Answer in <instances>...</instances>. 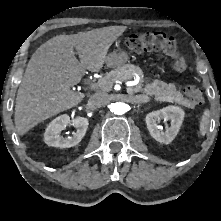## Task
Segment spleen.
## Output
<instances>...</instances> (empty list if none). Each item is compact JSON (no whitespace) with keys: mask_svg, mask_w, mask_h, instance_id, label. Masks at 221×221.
I'll return each mask as SVG.
<instances>
[{"mask_svg":"<svg viewBox=\"0 0 221 221\" xmlns=\"http://www.w3.org/2000/svg\"><path fill=\"white\" fill-rule=\"evenodd\" d=\"M209 118H210V111L206 109L202 116L200 117V122H199V133L201 136H204L206 134L208 125H209Z\"/></svg>","mask_w":221,"mask_h":221,"instance_id":"1","label":"spleen"}]
</instances>
